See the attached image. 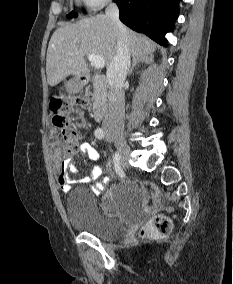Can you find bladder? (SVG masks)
Returning <instances> with one entry per match:
<instances>
[{"label":"bladder","instance_id":"31cf9c89","mask_svg":"<svg viewBox=\"0 0 233 284\" xmlns=\"http://www.w3.org/2000/svg\"><path fill=\"white\" fill-rule=\"evenodd\" d=\"M111 198L117 204L135 206L140 203L141 195L133 184L124 182L113 190ZM107 201L106 197L105 202ZM67 214L73 228L101 240H115L126 229L122 220L103 214L94 196L85 189H75L69 193Z\"/></svg>","mask_w":233,"mask_h":284}]
</instances>
